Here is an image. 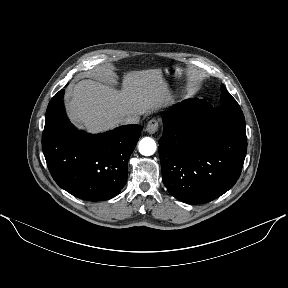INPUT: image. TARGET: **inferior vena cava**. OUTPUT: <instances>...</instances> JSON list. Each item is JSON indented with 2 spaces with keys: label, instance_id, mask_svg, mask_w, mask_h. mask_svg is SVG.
I'll list each match as a JSON object with an SVG mask.
<instances>
[{
  "label": "inferior vena cava",
  "instance_id": "602c4592",
  "mask_svg": "<svg viewBox=\"0 0 288 288\" xmlns=\"http://www.w3.org/2000/svg\"><path fill=\"white\" fill-rule=\"evenodd\" d=\"M140 118L137 115L128 116L123 120V124H137L139 123Z\"/></svg>",
  "mask_w": 288,
  "mask_h": 288
}]
</instances>
